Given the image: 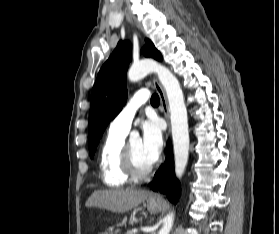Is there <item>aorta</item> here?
Wrapping results in <instances>:
<instances>
[{"label":"aorta","instance_id":"1","mask_svg":"<svg viewBox=\"0 0 279 234\" xmlns=\"http://www.w3.org/2000/svg\"><path fill=\"white\" fill-rule=\"evenodd\" d=\"M156 73L166 91L169 102L172 139L174 149L175 173L180 178L186 168L189 157V130L187 109L183 91L178 79L165 66L151 59L134 63L128 71V79L137 82L149 73ZM174 222V214H168L158 234H169Z\"/></svg>","mask_w":279,"mask_h":234}]
</instances>
